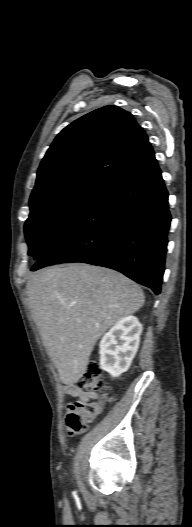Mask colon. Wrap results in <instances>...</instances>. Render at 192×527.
I'll list each match as a JSON object with an SVG mask.
<instances>
[{"label":"colon","mask_w":192,"mask_h":527,"mask_svg":"<svg viewBox=\"0 0 192 527\" xmlns=\"http://www.w3.org/2000/svg\"><path fill=\"white\" fill-rule=\"evenodd\" d=\"M77 385L89 392H101L102 398L95 402L80 400L67 406L66 426L70 435L85 430L87 424L100 413L107 400V387L102 380V370L98 363L90 362L86 366Z\"/></svg>","instance_id":"colon-1"}]
</instances>
